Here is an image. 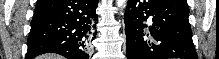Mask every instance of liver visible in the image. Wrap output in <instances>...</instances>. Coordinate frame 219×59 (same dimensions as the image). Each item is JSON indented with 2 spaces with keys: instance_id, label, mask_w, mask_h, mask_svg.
Wrapping results in <instances>:
<instances>
[{
  "instance_id": "liver-1",
  "label": "liver",
  "mask_w": 219,
  "mask_h": 59,
  "mask_svg": "<svg viewBox=\"0 0 219 59\" xmlns=\"http://www.w3.org/2000/svg\"><path fill=\"white\" fill-rule=\"evenodd\" d=\"M37 59H63L62 56L57 54H44L39 56Z\"/></svg>"
}]
</instances>
